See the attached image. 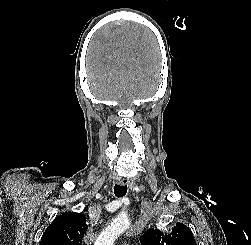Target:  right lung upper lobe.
<instances>
[{
    "mask_svg": "<svg viewBox=\"0 0 251 245\" xmlns=\"http://www.w3.org/2000/svg\"><path fill=\"white\" fill-rule=\"evenodd\" d=\"M87 228L86 219L82 213H63L56 217L46 229L40 245H82Z\"/></svg>",
    "mask_w": 251,
    "mask_h": 245,
    "instance_id": "obj_1",
    "label": "right lung upper lobe"
}]
</instances>
